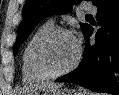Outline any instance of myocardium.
Wrapping results in <instances>:
<instances>
[{"label":"myocardium","instance_id":"1","mask_svg":"<svg viewBox=\"0 0 119 95\" xmlns=\"http://www.w3.org/2000/svg\"><path fill=\"white\" fill-rule=\"evenodd\" d=\"M60 34H67V35L73 36L71 31H69L66 28H63V27L53 28L52 30H50L49 32L44 34L37 41L36 45L34 46L33 52H32L33 66L40 74H42L46 78H58L60 76H63V75H66V74L72 72L74 69L77 68V66L79 65L81 58H82V48H81L80 43L77 41L76 42L77 43L76 57L69 66H67L66 68L59 70V71H51L45 66V64L42 60L44 48L51 40H53L56 36H58Z\"/></svg>","mask_w":119,"mask_h":95}]
</instances>
